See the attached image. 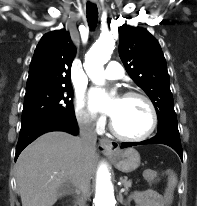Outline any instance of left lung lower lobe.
<instances>
[{
	"mask_svg": "<svg viewBox=\"0 0 197 206\" xmlns=\"http://www.w3.org/2000/svg\"><path fill=\"white\" fill-rule=\"evenodd\" d=\"M141 144H164L173 148L183 161V151L180 142V134L176 131L166 130L158 132L153 138L142 142H125L121 148L141 145Z\"/></svg>",
	"mask_w": 197,
	"mask_h": 206,
	"instance_id": "obj_1",
	"label": "left lung lower lobe"
}]
</instances>
